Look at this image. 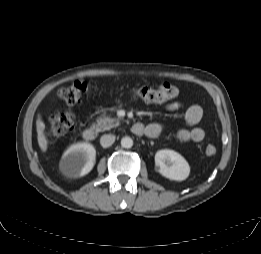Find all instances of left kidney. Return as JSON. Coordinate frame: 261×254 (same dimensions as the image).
Segmentation results:
<instances>
[{
	"mask_svg": "<svg viewBox=\"0 0 261 254\" xmlns=\"http://www.w3.org/2000/svg\"><path fill=\"white\" fill-rule=\"evenodd\" d=\"M155 166L162 176L170 180L183 181L190 173L188 162L173 150H159L155 154Z\"/></svg>",
	"mask_w": 261,
	"mask_h": 254,
	"instance_id": "1",
	"label": "left kidney"
}]
</instances>
